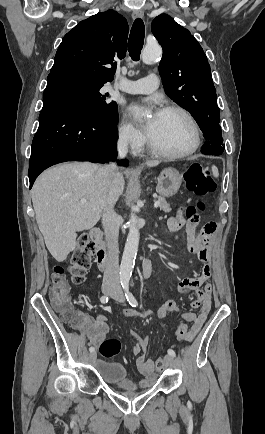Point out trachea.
<instances>
[{
  "mask_svg": "<svg viewBox=\"0 0 265 434\" xmlns=\"http://www.w3.org/2000/svg\"><path fill=\"white\" fill-rule=\"evenodd\" d=\"M145 36V26L141 18H137L132 25L128 40V52L130 57L137 61L139 60L141 50L143 48Z\"/></svg>",
  "mask_w": 265,
  "mask_h": 434,
  "instance_id": "3493384b",
  "label": "trachea"
}]
</instances>
